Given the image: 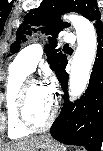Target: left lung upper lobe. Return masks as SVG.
<instances>
[{"instance_id":"1","label":"left lung upper lobe","mask_w":103,"mask_h":151,"mask_svg":"<svg viewBox=\"0 0 103 151\" xmlns=\"http://www.w3.org/2000/svg\"><path fill=\"white\" fill-rule=\"evenodd\" d=\"M70 11L78 12L90 21H95V27L103 30V22L100 20L101 15L96 0H43L38 8L30 10L24 16L23 22L16 32V42L11 45V53L19 51L21 41H26L24 34H30L31 26L46 25L41 28V31L52 37H49L50 44L45 46L44 51L51 69L57 75L67 62V58L62 52H59V49L55 48L57 46L55 38L59 31L70 26L60 19L62 13Z\"/></svg>"}]
</instances>
